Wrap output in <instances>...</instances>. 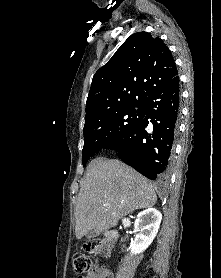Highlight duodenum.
I'll return each instance as SVG.
<instances>
[{"instance_id": "410a0bca", "label": "duodenum", "mask_w": 221, "mask_h": 278, "mask_svg": "<svg viewBox=\"0 0 221 278\" xmlns=\"http://www.w3.org/2000/svg\"><path fill=\"white\" fill-rule=\"evenodd\" d=\"M113 241H117L118 239V234L116 231H110L108 234H107Z\"/></svg>"}]
</instances>
